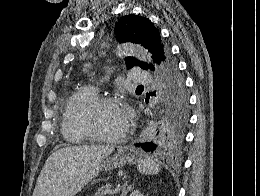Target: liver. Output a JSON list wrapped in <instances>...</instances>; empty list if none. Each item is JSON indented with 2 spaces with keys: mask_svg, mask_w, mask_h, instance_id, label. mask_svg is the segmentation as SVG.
Masks as SVG:
<instances>
[{
  "mask_svg": "<svg viewBox=\"0 0 260 196\" xmlns=\"http://www.w3.org/2000/svg\"><path fill=\"white\" fill-rule=\"evenodd\" d=\"M112 152L113 146L61 148L46 160L33 196H76L97 178L102 160Z\"/></svg>",
  "mask_w": 260,
  "mask_h": 196,
  "instance_id": "1",
  "label": "liver"
}]
</instances>
